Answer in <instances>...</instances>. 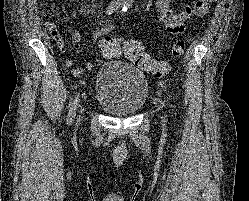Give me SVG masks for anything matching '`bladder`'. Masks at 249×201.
I'll use <instances>...</instances> for the list:
<instances>
[{"instance_id": "obj_1", "label": "bladder", "mask_w": 249, "mask_h": 201, "mask_svg": "<svg viewBox=\"0 0 249 201\" xmlns=\"http://www.w3.org/2000/svg\"><path fill=\"white\" fill-rule=\"evenodd\" d=\"M96 103L114 117L131 116L146 104L149 84L146 75L132 64L104 61L96 74Z\"/></svg>"}]
</instances>
